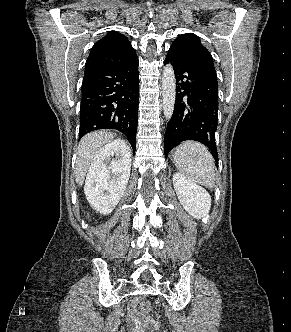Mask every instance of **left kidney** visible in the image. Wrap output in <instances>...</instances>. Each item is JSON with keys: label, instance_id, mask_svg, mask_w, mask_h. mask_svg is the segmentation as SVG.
<instances>
[{"label": "left kidney", "instance_id": "left-kidney-1", "mask_svg": "<svg viewBox=\"0 0 291 332\" xmlns=\"http://www.w3.org/2000/svg\"><path fill=\"white\" fill-rule=\"evenodd\" d=\"M172 180L177 197L184 209L196 219L208 217L211 208L209 193L180 173H175Z\"/></svg>", "mask_w": 291, "mask_h": 332}]
</instances>
